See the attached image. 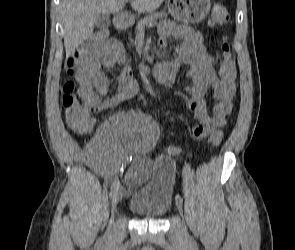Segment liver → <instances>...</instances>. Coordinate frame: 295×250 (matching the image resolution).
Returning <instances> with one entry per match:
<instances>
[{
    "label": "liver",
    "mask_w": 295,
    "mask_h": 250,
    "mask_svg": "<svg viewBox=\"0 0 295 250\" xmlns=\"http://www.w3.org/2000/svg\"><path fill=\"white\" fill-rule=\"evenodd\" d=\"M128 0H61L60 12L64 28L66 54L72 53L93 34L99 15L119 13ZM164 0H132L135 11L152 13Z\"/></svg>",
    "instance_id": "6515ba94"
}]
</instances>
